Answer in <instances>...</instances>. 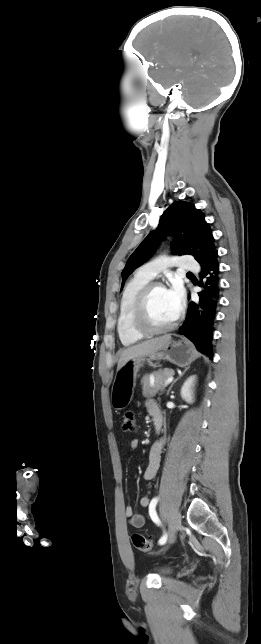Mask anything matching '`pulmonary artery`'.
<instances>
[{
  "label": "pulmonary artery",
  "mask_w": 261,
  "mask_h": 644,
  "mask_svg": "<svg viewBox=\"0 0 261 644\" xmlns=\"http://www.w3.org/2000/svg\"><path fill=\"white\" fill-rule=\"evenodd\" d=\"M172 266H177L187 271H197L199 266L191 256H161L140 267L139 272L154 278L158 273L164 269Z\"/></svg>",
  "instance_id": "e3ab8cb5"
}]
</instances>
